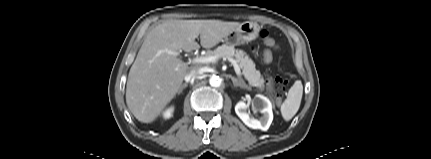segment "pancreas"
Masks as SVG:
<instances>
[{
  "mask_svg": "<svg viewBox=\"0 0 431 159\" xmlns=\"http://www.w3.org/2000/svg\"><path fill=\"white\" fill-rule=\"evenodd\" d=\"M208 55L218 56V58H235L249 86L256 87L261 91L265 89V81L260 72L256 70L255 63L243 50L235 49L234 46L222 45L209 52ZM267 90L270 94L273 91L271 86H268Z\"/></svg>",
  "mask_w": 431,
  "mask_h": 159,
  "instance_id": "1",
  "label": "pancreas"
}]
</instances>
